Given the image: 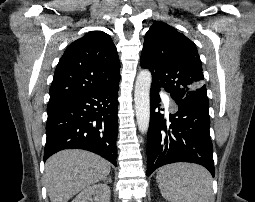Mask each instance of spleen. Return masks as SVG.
Listing matches in <instances>:
<instances>
[{
  "mask_svg": "<svg viewBox=\"0 0 255 202\" xmlns=\"http://www.w3.org/2000/svg\"><path fill=\"white\" fill-rule=\"evenodd\" d=\"M162 196L169 202H210L212 178L202 166L177 163L162 167L156 176Z\"/></svg>",
  "mask_w": 255,
  "mask_h": 202,
  "instance_id": "spleen-1",
  "label": "spleen"
}]
</instances>
